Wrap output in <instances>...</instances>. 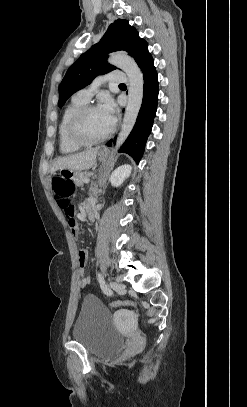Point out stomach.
<instances>
[{
	"mask_svg": "<svg viewBox=\"0 0 247 407\" xmlns=\"http://www.w3.org/2000/svg\"><path fill=\"white\" fill-rule=\"evenodd\" d=\"M106 157L105 151L99 152V158L104 159ZM59 173L61 178H78L79 170L77 166H60Z\"/></svg>",
	"mask_w": 247,
	"mask_h": 407,
	"instance_id": "obj_1",
	"label": "stomach"
}]
</instances>
